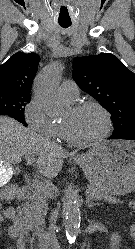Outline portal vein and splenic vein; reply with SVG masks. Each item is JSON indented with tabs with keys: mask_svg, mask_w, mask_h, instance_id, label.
Returning a JSON list of instances; mask_svg holds the SVG:
<instances>
[{
	"mask_svg": "<svg viewBox=\"0 0 135 249\" xmlns=\"http://www.w3.org/2000/svg\"><path fill=\"white\" fill-rule=\"evenodd\" d=\"M26 162L28 165H31L34 162V159L31 157H27ZM8 171H9V168H7L5 173L7 174ZM32 186L35 187L39 192H47L48 191V187L45 186L42 182L38 181L37 179L32 180Z\"/></svg>",
	"mask_w": 135,
	"mask_h": 249,
	"instance_id": "1",
	"label": "portal vein and splenic vein"
}]
</instances>
